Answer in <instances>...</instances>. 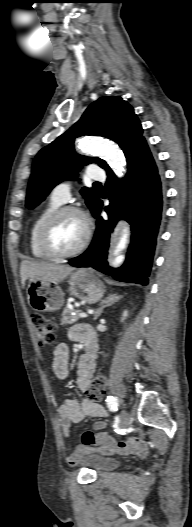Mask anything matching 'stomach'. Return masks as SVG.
Segmentation results:
<instances>
[{
	"label": "stomach",
	"instance_id": "stomach-1",
	"mask_svg": "<svg viewBox=\"0 0 192 527\" xmlns=\"http://www.w3.org/2000/svg\"><path fill=\"white\" fill-rule=\"evenodd\" d=\"M69 292L85 303L94 304L103 297L105 287L94 270L79 269L71 275ZM27 298L30 306L37 311H57L64 304V293L60 287L37 279H30Z\"/></svg>",
	"mask_w": 192,
	"mask_h": 527
}]
</instances>
